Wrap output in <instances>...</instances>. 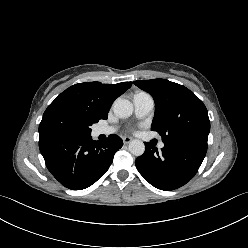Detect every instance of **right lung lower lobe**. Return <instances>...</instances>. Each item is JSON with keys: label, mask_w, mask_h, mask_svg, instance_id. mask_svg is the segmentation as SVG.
Returning <instances> with one entry per match:
<instances>
[{"label": "right lung lower lobe", "mask_w": 248, "mask_h": 248, "mask_svg": "<svg viewBox=\"0 0 248 248\" xmlns=\"http://www.w3.org/2000/svg\"><path fill=\"white\" fill-rule=\"evenodd\" d=\"M123 146L114 134L104 141L90 135L51 133L40 135L39 148L51 174L65 187L82 190L95 183L110 167Z\"/></svg>", "instance_id": "right-lung-lower-lobe-1"}]
</instances>
